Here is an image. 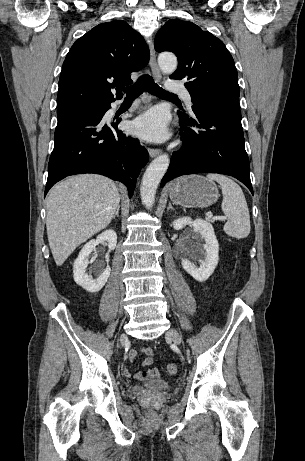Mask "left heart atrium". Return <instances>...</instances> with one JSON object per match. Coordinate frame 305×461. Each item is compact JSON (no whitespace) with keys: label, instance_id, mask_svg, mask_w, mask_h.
<instances>
[{"label":"left heart atrium","instance_id":"left-heart-atrium-1","mask_svg":"<svg viewBox=\"0 0 305 461\" xmlns=\"http://www.w3.org/2000/svg\"><path fill=\"white\" fill-rule=\"evenodd\" d=\"M133 132L149 141H162L169 136L167 115L161 109H151L132 124Z\"/></svg>","mask_w":305,"mask_h":461}]
</instances>
